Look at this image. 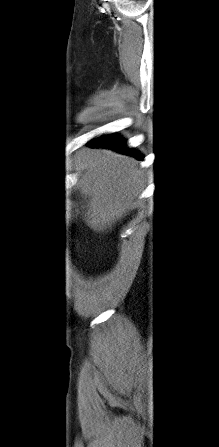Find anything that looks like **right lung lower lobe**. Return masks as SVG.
I'll return each mask as SVG.
<instances>
[{
	"mask_svg": "<svg viewBox=\"0 0 219 447\" xmlns=\"http://www.w3.org/2000/svg\"><path fill=\"white\" fill-rule=\"evenodd\" d=\"M89 147H107L112 148L116 151H119L124 154L135 156L138 159H143V157L135 152L134 149L127 148L125 144V140L116 135H106L99 138H96L86 144Z\"/></svg>",
	"mask_w": 219,
	"mask_h": 447,
	"instance_id": "right-lung-lower-lobe-1",
	"label": "right lung lower lobe"
}]
</instances>
